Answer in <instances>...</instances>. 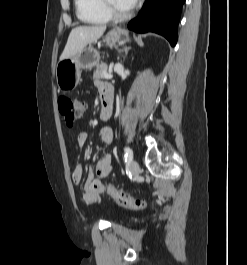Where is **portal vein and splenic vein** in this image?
<instances>
[{
  "mask_svg": "<svg viewBox=\"0 0 247 265\" xmlns=\"http://www.w3.org/2000/svg\"><path fill=\"white\" fill-rule=\"evenodd\" d=\"M112 77H113L112 74H105V78H107V79H111Z\"/></svg>",
  "mask_w": 247,
  "mask_h": 265,
  "instance_id": "1",
  "label": "portal vein and splenic vein"
}]
</instances>
